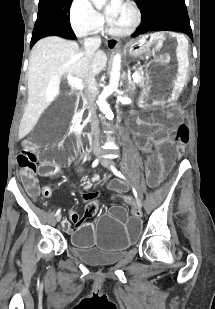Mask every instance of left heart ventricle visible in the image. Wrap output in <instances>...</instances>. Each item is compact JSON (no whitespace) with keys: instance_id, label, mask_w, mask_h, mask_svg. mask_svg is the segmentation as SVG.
<instances>
[{"instance_id":"obj_1","label":"left heart ventricle","mask_w":215,"mask_h":309,"mask_svg":"<svg viewBox=\"0 0 215 309\" xmlns=\"http://www.w3.org/2000/svg\"><path fill=\"white\" fill-rule=\"evenodd\" d=\"M116 24L117 25H127L128 24V19L127 18H117L116 19Z\"/></svg>"}]
</instances>
